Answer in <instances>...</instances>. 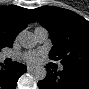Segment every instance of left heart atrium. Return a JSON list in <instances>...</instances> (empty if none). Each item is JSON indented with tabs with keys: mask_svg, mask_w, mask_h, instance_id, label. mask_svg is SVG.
Wrapping results in <instances>:
<instances>
[{
	"mask_svg": "<svg viewBox=\"0 0 89 89\" xmlns=\"http://www.w3.org/2000/svg\"><path fill=\"white\" fill-rule=\"evenodd\" d=\"M24 59L28 63H36L39 59V56L36 53H27V54L24 55Z\"/></svg>",
	"mask_w": 89,
	"mask_h": 89,
	"instance_id": "obj_1",
	"label": "left heart atrium"
}]
</instances>
